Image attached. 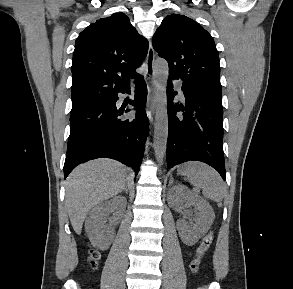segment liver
<instances>
[{"label": "liver", "mask_w": 293, "mask_h": 289, "mask_svg": "<svg viewBox=\"0 0 293 289\" xmlns=\"http://www.w3.org/2000/svg\"><path fill=\"white\" fill-rule=\"evenodd\" d=\"M129 169L110 159L77 166L66 180L65 207L72 227L80 234L88 212L100 202L120 193Z\"/></svg>", "instance_id": "1"}]
</instances>
